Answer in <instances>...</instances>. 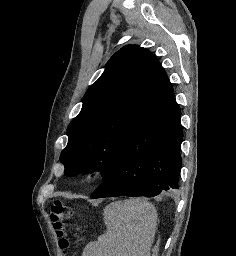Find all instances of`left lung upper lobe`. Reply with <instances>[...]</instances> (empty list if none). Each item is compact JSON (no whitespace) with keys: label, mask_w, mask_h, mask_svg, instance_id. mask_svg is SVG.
I'll use <instances>...</instances> for the list:
<instances>
[{"label":"left lung upper lobe","mask_w":236,"mask_h":256,"mask_svg":"<svg viewBox=\"0 0 236 256\" xmlns=\"http://www.w3.org/2000/svg\"><path fill=\"white\" fill-rule=\"evenodd\" d=\"M174 96L157 58L127 45L107 62L87 90L83 106L67 129L60 161L67 176L102 171L106 180L136 127Z\"/></svg>","instance_id":"1"}]
</instances>
